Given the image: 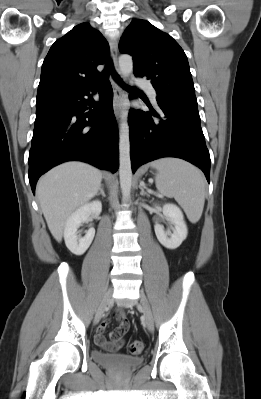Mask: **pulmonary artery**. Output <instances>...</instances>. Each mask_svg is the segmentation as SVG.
I'll return each mask as SVG.
<instances>
[{
    "instance_id": "1",
    "label": "pulmonary artery",
    "mask_w": 261,
    "mask_h": 399,
    "mask_svg": "<svg viewBox=\"0 0 261 399\" xmlns=\"http://www.w3.org/2000/svg\"><path fill=\"white\" fill-rule=\"evenodd\" d=\"M137 84H138L141 88L145 89V90L150 94L151 98L155 101V98H156V91H155V89L153 88V86L150 84L149 81L144 80V79H140V80L137 81Z\"/></svg>"
}]
</instances>
